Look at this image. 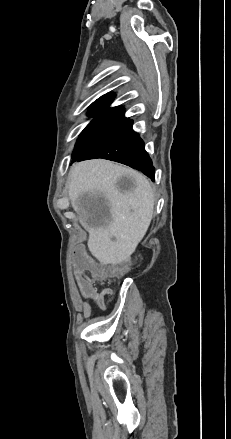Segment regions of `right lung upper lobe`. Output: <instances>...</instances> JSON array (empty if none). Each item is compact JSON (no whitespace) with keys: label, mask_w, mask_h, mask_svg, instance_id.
I'll use <instances>...</instances> for the list:
<instances>
[{"label":"right lung upper lobe","mask_w":231,"mask_h":439,"mask_svg":"<svg viewBox=\"0 0 231 439\" xmlns=\"http://www.w3.org/2000/svg\"><path fill=\"white\" fill-rule=\"evenodd\" d=\"M114 97L115 94L107 93L97 99L96 102L91 105L88 115L101 118L120 119L123 121L128 120L124 117V108L122 106L109 108Z\"/></svg>","instance_id":"right-lung-upper-lobe-1"}]
</instances>
